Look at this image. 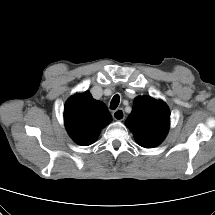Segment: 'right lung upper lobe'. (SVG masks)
Instances as JSON below:
<instances>
[{
    "label": "right lung upper lobe",
    "mask_w": 215,
    "mask_h": 215,
    "mask_svg": "<svg viewBox=\"0 0 215 215\" xmlns=\"http://www.w3.org/2000/svg\"><path fill=\"white\" fill-rule=\"evenodd\" d=\"M111 119L105 104L95 100L88 91L75 94L64 107L67 132L77 144L82 146L92 144Z\"/></svg>",
    "instance_id": "1"
}]
</instances>
